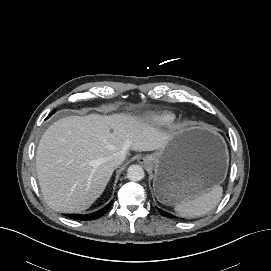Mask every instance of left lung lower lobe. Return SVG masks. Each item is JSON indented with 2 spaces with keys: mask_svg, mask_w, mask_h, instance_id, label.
Returning <instances> with one entry per match:
<instances>
[{
  "mask_svg": "<svg viewBox=\"0 0 271 271\" xmlns=\"http://www.w3.org/2000/svg\"><path fill=\"white\" fill-rule=\"evenodd\" d=\"M159 213L165 217H168V218H174V216L172 214H169L167 213L166 211H163L161 209H158Z\"/></svg>",
  "mask_w": 271,
  "mask_h": 271,
  "instance_id": "0a47b994",
  "label": "left lung lower lobe"
}]
</instances>
